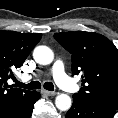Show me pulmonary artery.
Returning <instances> with one entry per match:
<instances>
[{
    "instance_id": "obj_1",
    "label": "pulmonary artery",
    "mask_w": 118,
    "mask_h": 118,
    "mask_svg": "<svg viewBox=\"0 0 118 118\" xmlns=\"http://www.w3.org/2000/svg\"><path fill=\"white\" fill-rule=\"evenodd\" d=\"M52 75L55 82L66 91H75L77 86L72 82L71 78L67 76L62 61L57 60L52 67ZM30 76H25L24 79H29Z\"/></svg>"
}]
</instances>
